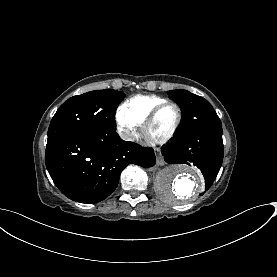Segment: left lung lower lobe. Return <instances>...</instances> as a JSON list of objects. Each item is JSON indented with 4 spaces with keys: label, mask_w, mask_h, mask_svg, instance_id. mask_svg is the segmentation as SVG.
Here are the masks:
<instances>
[{
    "label": "left lung lower lobe",
    "mask_w": 277,
    "mask_h": 277,
    "mask_svg": "<svg viewBox=\"0 0 277 277\" xmlns=\"http://www.w3.org/2000/svg\"><path fill=\"white\" fill-rule=\"evenodd\" d=\"M164 160L169 164H193L205 179V189L213 184L223 161L222 126L206 127L177 138L162 148Z\"/></svg>",
    "instance_id": "1"
}]
</instances>
